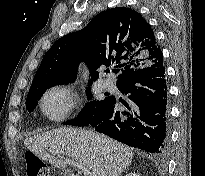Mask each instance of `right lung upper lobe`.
<instances>
[{
    "label": "right lung upper lobe",
    "mask_w": 205,
    "mask_h": 176,
    "mask_svg": "<svg viewBox=\"0 0 205 176\" xmlns=\"http://www.w3.org/2000/svg\"><path fill=\"white\" fill-rule=\"evenodd\" d=\"M84 61L97 80L101 65L116 63L119 81L142 67L163 63L154 32L141 14L126 7L106 10L82 30L58 39L46 52L30 91L49 84L73 82Z\"/></svg>",
    "instance_id": "right-lung-upper-lobe-1"
}]
</instances>
